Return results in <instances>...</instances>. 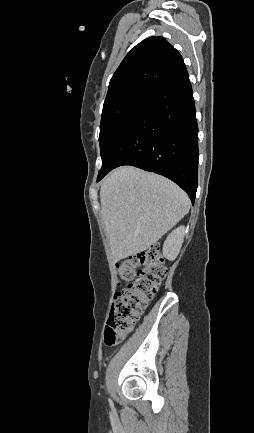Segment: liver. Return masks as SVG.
Segmentation results:
<instances>
[{
  "instance_id": "1",
  "label": "liver",
  "mask_w": 254,
  "mask_h": 433,
  "mask_svg": "<svg viewBox=\"0 0 254 433\" xmlns=\"http://www.w3.org/2000/svg\"><path fill=\"white\" fill-rule=\"evenodd\" d=\"M100 201L114 261L148 249L190 209L187 194L172 181L130 166L104 179Z\"/></svg>"
}]
</instances>
